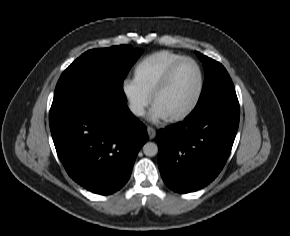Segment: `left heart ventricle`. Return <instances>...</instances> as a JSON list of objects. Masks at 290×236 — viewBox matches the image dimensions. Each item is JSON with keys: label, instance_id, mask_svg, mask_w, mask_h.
I'll return each mask as SVG.
<instances>
[{"label": "left heart ventricle", "instance_id": "1", "mask_svg": "<svg viewBox=\"0 0 290 236\" xmlns=\"http://www.w3.org/2000/svg\"><path fill=\"white\" fill-rule=\"evenodd\" d=\"M196 88V70L192 65L185 64L176 71L169 86L158 95L154 106L162 114L178 113L190 103Z\"/></svg>", "mask_w": 290, "mask_h": 236}]
</instances>
